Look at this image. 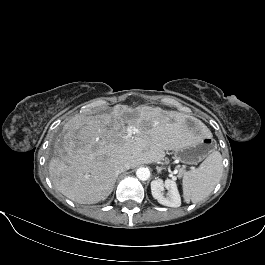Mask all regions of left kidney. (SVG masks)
<instances>
[{"mask_svg":"<svg viewBox=\"0 0 265 265\" xmlns=\"http://www.w3.org/2000/svg\"><path fill=\"white\" fill-rule=\"evenodd\" d=\"M168 190L167 197L163 195V190ZM152 196L162 205L168 207H179L181 205L180 194L174 180L155 179L151 182Z\"/></svg>","mask_w":265,"mask_h":265,"instance_id":"left-kidney-1","label":"left kidney"}]
</instances>
